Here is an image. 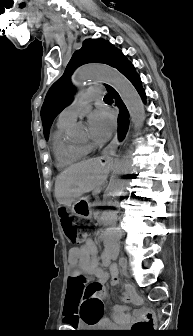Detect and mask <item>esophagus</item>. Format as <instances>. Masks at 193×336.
Segmentation results:
<instances>
[{
  "label": "esophagus",
  "instance_id": "34e87169",
  "mask_svg": "<svg viewBox=\"0 0 193 336\" xmlns=\"http://www.w3.org/2000/svg\"><path fill=\"white\" fill-rule=\"evenodd\" d=\"M119 144H120V141L116 133L112 141L103 149L100 161H103L105 158L115 155Z\"/></svg>",
  "mask_w": 193,
  "mask_h": 336
}]
</instances>
